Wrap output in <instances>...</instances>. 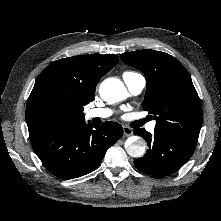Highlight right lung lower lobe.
Listing matches in <instances>:
<instances>
[{"mask_svg": "<svg viewBox=\"0 0 221 221\" xmlns=\"http://www.w3.org/2000/svg\"><path fill=\"white\" fill-rule=\"evenodd\" d=\"M123 135V128L107 121L101 126L85 122L51 128L31 140L46 169L62 179L86 175L101 163L107 149Z\"/></svg>", "mask_w": 221, "mask_h": 221, "instance_id": "1", "label": "right lung lower lobe"}]
</instances>
